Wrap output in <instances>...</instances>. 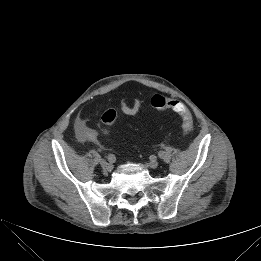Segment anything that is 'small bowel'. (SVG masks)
<instances>
[{"label":"small bowel","instance_id":"obj_1","mask_svg":"<svg viewBox=\"0 0 261 261\" xmlns=\"http://www.w3.org/2000/svg\"><path fill=\"white\" fill-rule=\"evenodd\" d=\"M141 107V101L134 99L133 102L129 103L123 99L120 104L121 111L126 115H135L138 113ZM75 132L79 141L81 142H98L99 132L96 129L90 128L87 125L86 119L82 116L77 117L75 121Z\"/></svg>","mask_w":261,"mask_h":261}]
</instances>
